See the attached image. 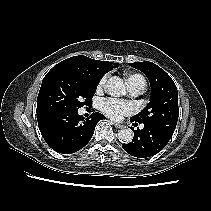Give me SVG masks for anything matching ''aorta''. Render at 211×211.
Segmentation results:
<instances>
[{
    "instance_id": "762f6f07",
    "label": "aorta",
    "mask_w": 211,
    "mask_h": 211,
    "mask_svg": "<svg viewBox=\"0 0 211 211\" xmlns=\"http://www.w3.org/2000/svg\"><path fill=\"white\" fill-rule=\"evenodd\" d=\"M106 91L110 96L120 97L126 94L124 82L118 76H112L106 84ZM121 143L128 144L133 139V132L129 128L121 129L117 134Z\"/></svg>"
}]
</instances>
